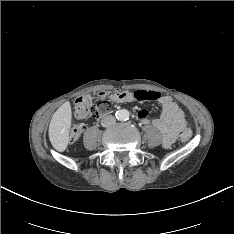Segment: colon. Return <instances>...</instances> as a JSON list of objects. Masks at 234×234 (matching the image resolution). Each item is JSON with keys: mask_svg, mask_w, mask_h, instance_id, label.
I'll return each mask as SVG.
<instances>
[{"mask_svg": "<svg viewBox=\"0 0 234 234\" xmlns=\"http://www.w3.org/2000/svg\"><path fill=\"white\" fill-rule=\"evenodd\" d=\"M129 94L137 101L156 100L157 93H147L145 91H117L111 94L100 92L95 96H81L75 101V115L80 119L99 118L106 114L112 102H120ZM85 127L83 124H76L72 127L70 140L72 142L79 139ZM191 131L186 130L181 135V140L187 142L191 138Z\"/></svg>", "mask_w": 234, "mask_h": 234, "instance_id": "obj_1", "label": "colon"}]
</instances>
